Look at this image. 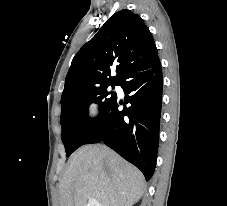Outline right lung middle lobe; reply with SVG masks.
Instances as JSON below:
<instances>
[{
	"instance_id": "1",
	"label": "right lung middle lobe",
	"mask_w": 227,
	"mask_h": 206,
	"mask_svg": "<svg viewBox=\"0 0 227 206\" xmlns=\"http://www.w3.org/2000/svg\"><path fill=\"white\" fill-rule=\"evenodd\" d=\"M110 85L113 89L114 85L118 84L93 88L61 100V138L65 146L66 156H70L77 148L84 145L94 129L84 121L83 115L88 112L85 106L97 103L101 117H103L111 104L117 99L115 92L108 91ZM108 95H111V97H107Z\"/></svg>"
}]
</instances>
